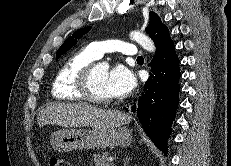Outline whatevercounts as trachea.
<instances>
[{"mask_svg": "<svg viewBox=\"0 0 231 166\" xmlns=\"http://www.w3.org/2000/svg\"><path fill=\"white\" fill-rule=\"evenodd\" d=\"M137 61H144V58L142 56L137 57Z\"/></svg>", "mask_w": 231, "mask_h": 166, "instance_id": "obj_1", "label": "trachea"}]
</instances>
